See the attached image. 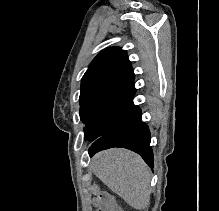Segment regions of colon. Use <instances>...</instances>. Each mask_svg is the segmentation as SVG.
<instances>
[{
  "instance_id": "obj_1",
  "label": "colon",
  "mask_w": 219,
  "mask_h": 211,
  "mask_svg": "<svg viewBox=\"0 0 219 211\" xmlns=\"http://www.w3.org/2000/svg\"><path fill=\"white\" fill-rule=\"evenodd\" d=\"M92 192H93V194H94V196H95V198H94L93 201H94L95 204H98V202H99L100 198L102 197V194H103V193L100 192L96 186H94V187L92 188Z\"/></svg>"
}]
</instances>
